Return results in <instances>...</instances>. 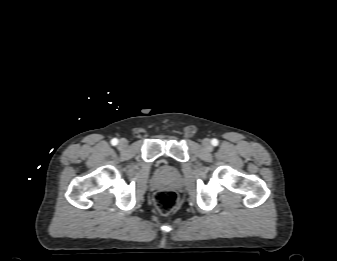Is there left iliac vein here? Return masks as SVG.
<instances>
[{"label":"left iliac vein","instance_id":"4c4485c4","mask_svg":"<svg viewBox=\"0 0 337 261\" xmlns=\"http://www.w3.org/2000/svg\"><path fill=\"white\" fill-rule=\"evenodd\" d=\"M202 144H203V146L206 150H208V151L212 150V145H211V142H210L209 139H204L202 141Z\"/></svg>","mask_w":337,"mask_h":261}]
</instances>
